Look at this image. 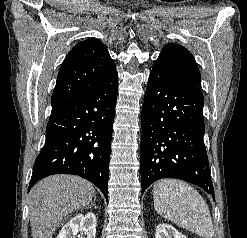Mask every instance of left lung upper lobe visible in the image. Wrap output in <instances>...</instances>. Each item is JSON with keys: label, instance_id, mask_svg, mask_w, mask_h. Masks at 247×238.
Masks as SVG:
<instances>
[{"label": "left lung upper lobe", "instance_id": "5c2ea615", "mask_svg": "<svg viewBox=\"0 0 247 238\" xmlns=\"http://www.w3.org/2000/svg\"><path fill=\"white\" fill-rule=\"evenodd\" d=\"M156 62L165 65L178 76L201 86V75L192 54L178 44L166 45Z\"/></svg>", "mask_w": 247, "mask_h": 238}]
</instances>
